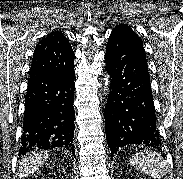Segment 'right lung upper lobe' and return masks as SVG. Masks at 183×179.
Returning <instances> with one entry per match:
<instances>
[{
  "label": "right lung upper lobe",
  "mask_w": 183,
  "mask_h": 179,
  "mask_svg": "<svg viewBox=\"0 0 183 179\" xmlns=\"http://www.w3.org/2000/svg\"><path fill=\"white\" fill-rule=\"evenodd\" d=\"M74 53L69 40L52 32L37 44L30 68V78L38 75H68L74 71Z\"/></svg>",
  "instance_id": "1"
}]
</instances>
